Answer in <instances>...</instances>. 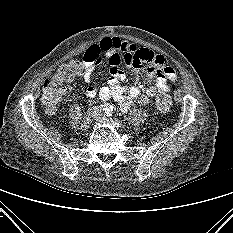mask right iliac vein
<instances>
[{
  "mask_svg": "<svg viewBox=\"0 0 233 233\" xmlns=\"http://www.w3.org/2000/svg\"><path fill=\"white\" fill-rule=\"evenodd\" d=\"M98 109L97 108H91L86 116L84 117L82 124H81V130L82 131H87L92 123V120L95 119V116L98 114Z\"/></svg>",
  "mask_w": 233,
  "mask_h": 233,
  "instance_id": "obj_1",
  "label": "right iliac vein"
}]
</instances>
